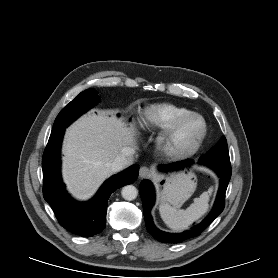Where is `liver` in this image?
<instances>
[{"instance_id":"6515ba94","label":"liver","mask_w":278,"mask_h":278,"mask_svg":"<svg viewBox=\"0 0 278 278\" xmlns=\"http://www.w3.org/2000/svg\"><path fill=\"white\" fill-rule=\"evenodd\" d=\"M125 148H135V130L106 111L89 113L66 131L63 144L64 181L79 200L90 198L113 171L111 163ZM129 164L132 155L128 156Z\"/></svg>"}]
</instances>
